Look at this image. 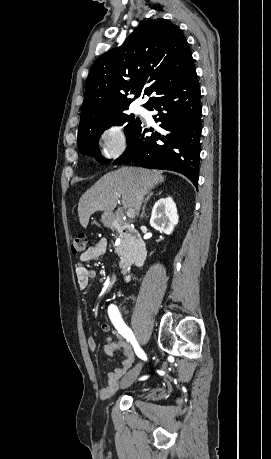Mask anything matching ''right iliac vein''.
Here are the masks:
<instances>
[{
  "instance_id": "63e3f726",
  "label": "right iliac vein",
  "mask_w": 271,
  "mask_h": 459,
  "mask_svg": "<svg viewBox=\"0 0 271 459\" xmlns=\"http://www.w3.org/2000/svg\"><path fill=\"white\" fill-rule=\"evenodd\" d=\"M141 367H142V364L139 363L126 374V376L121 380L122 388H127L133 384L134 380L140 374Z\"/></svg>"
}]
</instances>
